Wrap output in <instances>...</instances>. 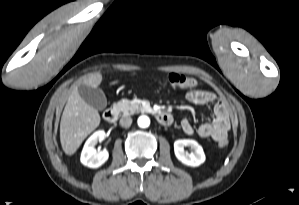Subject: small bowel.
<instances>
[{
  "label": "small bowel",
  "mask_w": 299,
  "mask_h": 205,
  "mask_svg": "<svg viewBox=\"0 0 299 205\" xmlns=\"http://www.w3.org/2000/svg\"><path fill=\"white\" fill-rule=\"evenodd\" d=\"M184 96L186 100L197 105L215 102L211 122L203 123L195 129L188 119L181 121V128L185 134L192 135L196 132L201 138H212L215 141L227 138L230 129L228 110L222 101H216V96L213 92L204 88L189 89L184 93Z\"/></svg>",
  "instance_id": "1"
}]
</instances>
